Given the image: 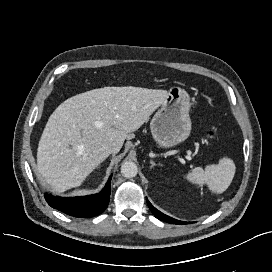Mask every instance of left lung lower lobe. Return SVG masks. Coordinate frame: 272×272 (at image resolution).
<instances>
[{"label":"left lung lower lobe","instance_id":"left-lung-lower-lobe-1","mask_svg":"<svg viewBox=\"0 0 272 272\" xmlns=\"http://www.w3.org/2000/svg\"><path fill=\"white\" fill-rule=\"evenodd\" d=\"M149 209L151 210V212L155 215L156 218L160 219L161 221H165L171 224H188L189 222H182L176 219H173L165 214H163L162 212L158 211L156 208H154L152 206V204L148 201V199L146 200Z\"/></svg>","mask_w":272,"mask_h":272}]
</instances>
